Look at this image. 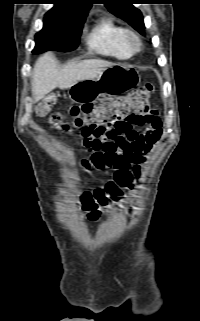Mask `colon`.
Listing matches in <instances>:
<instances>
[{
	"label": "colon",
	"instance_id": "5ec220e1",
	"mask_svg": "<svg viewBox=\"0 0 200 321\" xmlns=\"http://www.w3.org/2000/svg\"><path fill=\"white\" fill-rule=\"evenodd\" d=\"M153 87L147 84L129 94L121 97L102 96L93 102L76 105L68 110L66 119L63 115L56 114L50 118L52 125L61 133L68 132L72 128L85 126V130L96 125H113L123 119L134 115H142L150 110V96ZM56 103V97L46 96L36 108L39 116L47 115ZM90 162L97 168L104 164L112 165L110 161H104L99 155H92ZM85 166L89 165L88 160H83ZM118 169L115 182H109L104 188H97L94 191H86L82 195L83 209L88 212V218L95 220L100 209L108 206L109 196L120 193L119 186H124L129 181V173L124 164L115 166Z\"/></svg>",
	"mask_w": 200,
	"mask_h": 321
}]
</instances>
